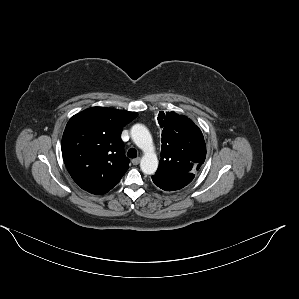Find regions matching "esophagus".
<instances>
[{"instance_id": "esophagus-1", "label": "esophagus", "mask_w": 299, "mask_h": 299, "mask_svg": "<svg viewBox=\"0 0 299 299\" xmlns=\"http://www.w3.org/2000/svg\"><path fill=\"white\" fill-rule=\"evenodd\" d=\"M133 165H138L140 163V158H136L132 160Z\"/></svg>"}]
</instances>
